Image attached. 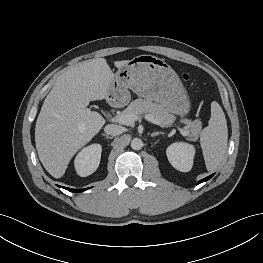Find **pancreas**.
Listing matches in <instances>:
<instances>
[{
  "label": "pancreas",
  "mask_w": 263,
  "mask_h": 263,
  "mask_svg": "<svg viewBox=\"0 0 263 263\" xmlns=\"http://www.w3.org/2000/svg\"><path fill=\"white\" fill-rule=\"evenodd\" d=\"M121 114H133L135 116L149 114L159 120L164 127L175 121V116L166 107L142 98L132 101ZM182 122L187 125L188 137L193 141L197 140L202 129V122L200 120L191 121L188 119H183Z\"/></svg>",
  "instance_id": "obj_1"
}]
</instances>
